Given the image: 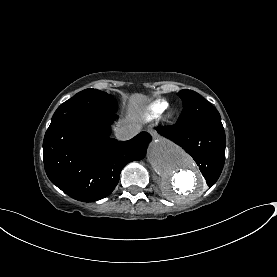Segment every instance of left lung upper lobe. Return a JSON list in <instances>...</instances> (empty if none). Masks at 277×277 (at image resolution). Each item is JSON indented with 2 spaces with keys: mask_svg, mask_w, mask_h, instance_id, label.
<instances>
[{
  "mask_svg": "<svg viewBox=\"0 0 277 277\" xmlns=\"http://www.w3.org/2000/svg\"><path fill=\"white\" fill-rule=\"evenodd\" d=\"M182 99L184 110L178 124H191L206 120H221L219 112L201 95L192 90L184 89L178 92Z\"/></svg>",
  "mask_w": 277,
  "mask_h": 277,
  "instance_id": "left-lung-upper-lobe-1",
  "label": "left lung upper lobe"
}]
</instances>
